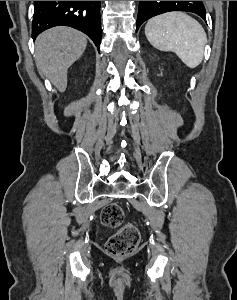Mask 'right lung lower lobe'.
Instances as JSON below:
<instances>
[{
  "instance_id": "1",
  "label": "right lung lower lobe",
  "mask_w": 237,
  "mask_h": 300,
  "mask_svg": "<svg viewBox=\"0 0 237 300\" xmlns=\"http://www.w3.org/2000/svg\"><path fill=\"white\" fill-rule=\"evenodd\" d=\"M33 40L46 29L70 26L87 34L100 49V1H34Z\"/></svg>"
}]
</instances>
